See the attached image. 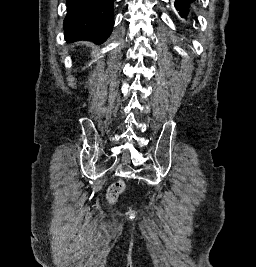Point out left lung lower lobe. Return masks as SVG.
I'll use <instances>...</instances> for the list:
<instances>
[{
  "instance_id": "left-lung-lower-lobe-1",
  "label": "left lung lower lobe",
  "mask_w": 256,
  "mask_h": 267,
  "mask_svg": "<svg viewBox=\"0 0 256 267\" xmlns=\"http://www.w3.org/2000/svg\"><path fill=\"white\" fill-rule=\"evenodd\" d=\"M195 0H176L175 6L180 11V15L184 18L189 17V3Z\"/></svg>"
}]
</instances>
